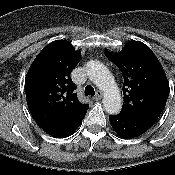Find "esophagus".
<instances>
[{"instance_id": "34e87169", "label": "esophagus", "mask_w": 175, "mask_h": 175, "mask_svg": "<svg viewBox=\"0 0 175 175\" xmlns=\"http://www.w3.org/2000/svg\"><path fill=\"white\" fill-rule=\"evenodd\" d=\"M102 96H103L102 91H97V93H96V95H95V97H94V100H95V101H99V100L102 99Z\"/></svg>"}]
</instances>
